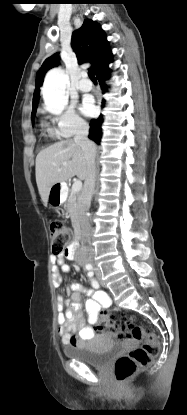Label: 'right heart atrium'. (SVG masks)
<instances>
[{
  "instance_id": "right-heart-atrium-1",
  "label": "right heart atrium",
  "mask_w": 187,
  "mask_h": 415,
  "mask_svg": "<svg viewBox=\"0 0 187 415\" xmlns=\"http://www.w3.org/2000/svg\"><path fill=\"white\" fill-rule=\"evenodd\" d=\"M50 120L55 134L60 138H70L87 130V123L71 107L50 117Z\"/></svg>"
}]
</instances>
